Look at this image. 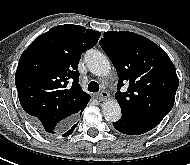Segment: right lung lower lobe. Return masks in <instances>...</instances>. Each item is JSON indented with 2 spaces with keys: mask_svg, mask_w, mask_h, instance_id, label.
Wrapping results in <instances>:
<instances>
[{
  "mask_svg": "<svg viewBox=\"0 0 190 165\" xmlns=\"http://www.w3.org/2000/svg\"><path fill=\"white\" fill-rule=\"evenodd\" d=\"M82 113V112H81ZM31 122L33 125H35L37 128L39 127V124L37 122V120L33 119V118H30ZM77 124L71 126L66 132L62 133L64 137L70 135L73 131H74V128L76 127Z\"/></svg>",
  "mask_w": 190,
  "mask_h": 165,
  "instance_id": "right-lung-lower-lobe-1",
  "label": "right lung lower lobe"
}]
</instances>
